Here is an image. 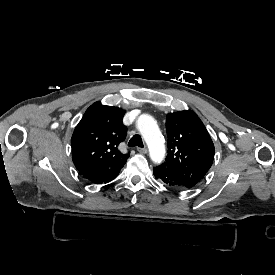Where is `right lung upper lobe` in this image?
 I'll return each mask as SVG.
<instances>
[{
  "instance_id": "cb5924a9",
  "label": "right lung upper lobe",
  "mask_w": 275,
  "mask_h": 275,
  "mask_svg": "<svg viewBox=\"0 0 275 275\" xmlns=\"http://www.w3.org/2000/svg\"><path fill=\"white\" fill-rule=\"evenodd\" d=\"M124 114L125 110L100 102L87 109L71 138L73 162L82 175L124 166L130 155L118 149L127 134Z\"/></svg>"
}]
</instances>
